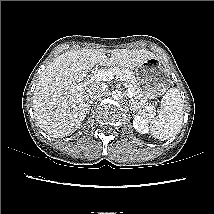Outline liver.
I'll return each instance as SVG.
<instances>
[{
    "label": "liver",
    "instance_id": "liver-1",
    "mask_svg": "<svg viewBox=\"0 0 214 214\" xmlns=\"http://www.w3.org/2000/svg\"><path fill=\"white\" fill-rule=\"evenodd\" d=\"M154 56L146 49L103 48L71 49L59 55L47 64L35 87L32 107L37 125L55 139L71 135L89 114V91L101 84H82L95 65L132 70Z\"/></svg>",
    "mask_w": 214,
    "mask_h": 214
}]
</instances>
